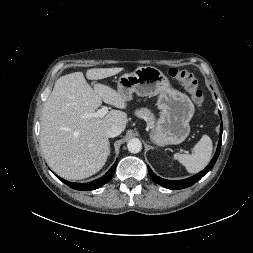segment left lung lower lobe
Segmentation results:
<instances>
[{
    "instance_id": "obj_1",
    "label": "left lung lower lobe",
    "mask_w": 253,
    "mask_h": 253,
    "mask_svg": "<svg viewBox=\"0 0 253 253\" xmlns=\"http://www.w3.org/2000/svg\"><path fill=\"white\" fill-rule=\"evenodd\" d=\"M220 113V112H219ZM222 131H223V126H222V123H221V127H220V138H219V142H218V147H217V150H216V153L213 157V159L211 160V162L208 164V166L202 170L201 172H199L198 174L190 177V178H187V179H184V180H166V179H163L159 176H157L151 169L150 167L148 166V171H149V174L152 178V180L165 187V188H168V189H172V190H177V189H184V188H187L191 185H193L194 183H196L198 180H200L205 174H207L211 169L212 167L214 166V164L216 163L217 161V158L219 156V153H220V149H221V143H222Z\"/></svg>"
}]
</instances>
